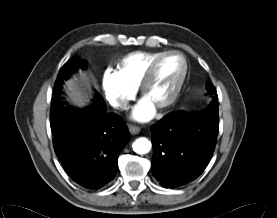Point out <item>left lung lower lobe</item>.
<instances>
[{
  "mask_svg": "<svg viewBox=\"0 0 277 218\" xmlns=\"http://www.w3.org/2000/svg\"><path fill=\"white\" fill-rule=\"evenodd\" d=\"M218 101L193 114L174 111L151 126L152 174L166 188L189 183L207 167L218 136Z\"/></svg>",
  "mask_w": 277,
  "mask_h": 218,
  "instance_id": "0a47b994",
  "label": "left lung lower lobe"
}]
</instances>
